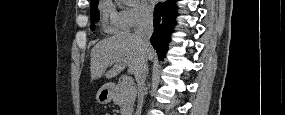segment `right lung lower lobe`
Segmentation results:
<instances>
[{"label": "right lung lower lobe", "instance_id": "right-lung-lower-lobe-1", "mask_svg": "<svg viewBox=\"0 0 285 115\" xmlns=\"http://www.w3.org/2000/svg\"><path fill=\"white\" fill-rule=\"evenodd\" d=\"M175 2L176 0H166L163 3H158L154 10V33L150 41L161 60L168 50V43L175 25L177 15Z\"/></svg>", "mask_w": 285, "mask_h": 115}]
</instances>
